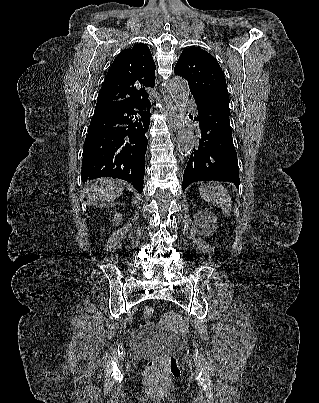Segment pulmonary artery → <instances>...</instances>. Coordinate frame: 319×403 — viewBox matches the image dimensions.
<instances>
[{"label": "pulmonary artery", "mask_w": 319, "mask_h": 403, "mask_svg": "<svg viewBox=\"0 0 319 403\" xmlns=\"http://www.w3.org/2000/svg\"><path fill=\"white\" fill-rule=\"evenodd\" d=\"M186 103L189 104V105L191 104L190 102H186Z\"/></svg>", "instance_id": "1"}]
</instances>
